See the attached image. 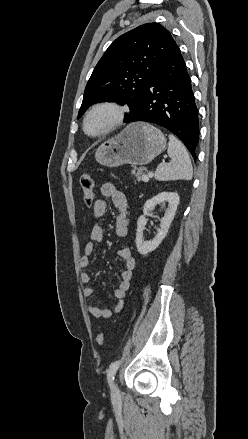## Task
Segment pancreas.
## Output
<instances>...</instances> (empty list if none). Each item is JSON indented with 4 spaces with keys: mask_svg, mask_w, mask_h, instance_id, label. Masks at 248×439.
<instances>
[{
    "mask_svg": "<svg viewBox=\"0 0 248 439\" xmlns=\"http://www.w3.org/2000/svg\"><path fill=\"white\" fill-rule=\"evenodd\" d=\"M144 171H145V169L144 168H133L132 169V171H131V173L134 175V176H136L137 177V180L138 181H140V180H142V178H143V176H144Z\"/></svg>",
    "mask_w": 248,
    "mask_h": 439,
    "instance_id": "cf45deb5",
    "label": "pancreas"
}]
</instances>
